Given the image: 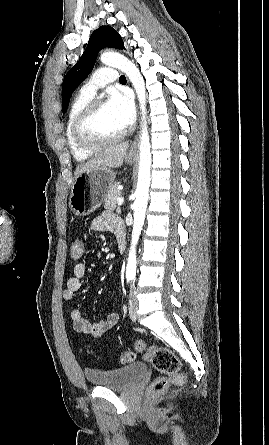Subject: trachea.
Wrapping results in <instances>:
<instances>
[{
    "label": "trachea",
    "instance_id": "3493384b",
    "mask_svg": "<svg viewBox=\"0 0 269 445\" xmlns=\"http://www.w3.org/2000/svg\"><path fill=\"white\" fill-rule=\"evenodd\" d=\"M119 81L120 82L126 81V77L124 75H121L119 78Z\"/></svg>",
    "mask_w": 269,
    "mask_h": 445
}]
</instances>
